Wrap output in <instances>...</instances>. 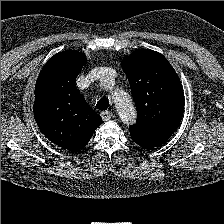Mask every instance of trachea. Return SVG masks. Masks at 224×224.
Instances as JSON below:
<instances>
[{"mask_svg": "<svg viewBox=\"0 0 224 224\" xmlns=\"http://www.w3.org/2000/svg\"><path fill=\"white\" fill-rule=\"evenodd\" d=\"M96 106L99 110H106L109 107V100L107 98H101Z\"/></svg>", "mask_w": 224, "mask_h": 224, "instance_id": "3493384b", "label": "trachea"}]
</instances>
